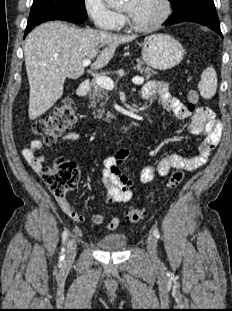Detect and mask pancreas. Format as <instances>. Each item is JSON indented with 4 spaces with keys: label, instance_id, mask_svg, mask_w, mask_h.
Here are the masks:
<instances>
[{
    "label": "pancreas",
    "instance_id": "cf45deb5",
    "mask_svg": "<svg viewBox=\"0 0 232 311\" xmlns=\"http://www.w3.org/2000/svg\"><path fill=\"white\" fill-rule=\"evenodd\" d=\"M139 73L144 74L145 77L147 79H149L153 74H156L155 71H153L151 68L149 67H143L142 66V62H138L135 68ZM91 93L89 94L88 98L89 101L91 103L92 107H96L97 103H99L101 100H103V98L105 97L106 99H108V93L107 91L100 87L96 81H92L91 82ZM105 103L101 102L100 106H103ZM105 111L104 110H98L97 113L98 115L95 114V119H100L103 116V113ZM110 118L113 119V115H111L109 112L106 114V119H104L105 121H107L108 123L110 122Z\"/></svg>",
    "mask_w": 232,
    "mask_h": 311
}]
</instances>
